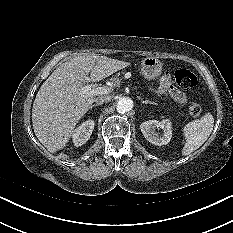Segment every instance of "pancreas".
Here are the masks:
<instances>
[{"label": "pancreas", "mask_w": 233, "mask_h": 233, "mask_svg": "<svg viewBox=\"0 0 233 233\" xmlns=\"http://www.w3.org/2000/svg\"><path fill=\"white\" fill-rule=\"evenodd\" d=\"M110 82L114 87L120 85V82H121L120 74H117L116 76L111 77Z\"/></svg>", "instance_id": "pancreas-1"}]
</instances>
